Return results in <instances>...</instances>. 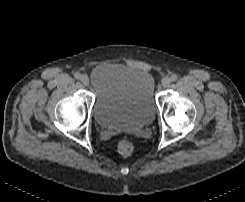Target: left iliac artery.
I'll return each instance as SVG.
<instances>
[{
  "label": "left iliac artery",
  "mask_w": 245,
  "mask_h": 202,
  "mask_svg": "<svg viewBox=\"0 0 245 202\" xmlns=\"http://www.w3.org/2000/svg\"><path fill=\"white\" fill-rule=\"evenodd\" d=\"M171 81H176L177 80V75L173 74L171 77H170Z\"/></svg>",
  "instance_id": "left-iliac-artery-1"
}]
</instances>
